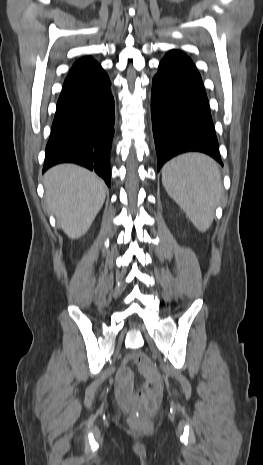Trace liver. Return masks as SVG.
Wrapping results in <instances>:
<instances>
[{"instance_id":"obj_1","label":"liver","mask_w":263,"mask_h":465,"mask_svg":"<svg viewBox=\"0 0 263 465\" xmlns=\"http://www.w3.org/2000/svg\"><path fill=\"white\" fill-rule=\"evenodd\" d=\"M45 198L59 227L69 238L78 239L90 228L102 208L107 187L95 173L73 165L61 164L44 176Z\"/></svg>"}]
</instances>
